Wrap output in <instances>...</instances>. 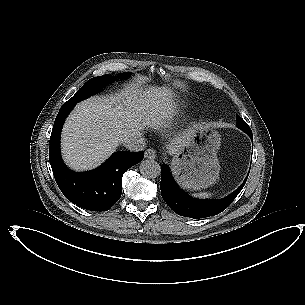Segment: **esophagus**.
Listing matches in <instances>:
<instances>
[{"label":"esophagus","instance_id":"obj_1","mask_svg":"<svg viewBox=\"0 0 305 305\" xmlns=\"http://www.w3.org/2000/svg\"><path fill=\"white\" fill-rule=\"evenodd\" d=\"M145 157L148 159H155L156 151L152 148H149L145 151Z\"/></svg>","mask_w":305,"mask_h":305}]
</instances>
